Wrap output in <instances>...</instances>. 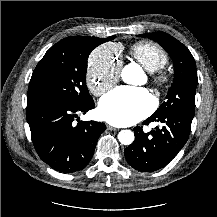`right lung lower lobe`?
<instances>
[{"mask_svg": "<svg viewBox=\"0 0 217 217\" xmlns=\"http://www.w3.org/2000/svg\"><path fill=\"white\" fill-rule=\"evenodd\" d=\"M93 99L83 105L44 102L27 105L26 117L40 158L61 173L77 172L91 160L104 123L79 121L78 114L94 108ZM79 121L76 124L75 119Z\"/></svg>", "mask_w": 217, "mask_h": 217, "instance_id": "obj_1", "label": "right lung lower lobe"}]
</instances>
